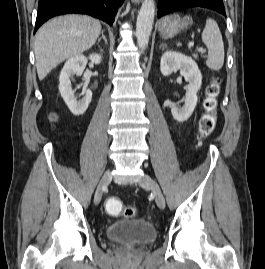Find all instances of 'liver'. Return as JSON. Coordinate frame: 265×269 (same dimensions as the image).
<instances>
[{"label": "liver", "instance_id": "liver-1", "mask_svg": "<svg viewBox=\"0 0 265 269\" xmlns=\"http://www.w3.org/2000/svg\"><path fill=\"white\" fill-rule=\"evenodd\" d=\"M101 33L98 20L65 15L45 23L36 33L37 74L43 80L58 64L91 48Z\"/></svg>", "mask_w": 265, "mask_h": 269}]
</instances>
